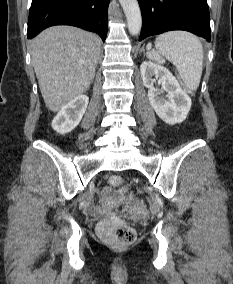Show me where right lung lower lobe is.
I'll use <instances>...</instances> for the list:
<instances>
[{
  "mask_svg": "<svg viewBox=\"0 0 233 284\" xmlns=\"http://www.w3.org/2000/svg\"><path fill=\"white\" fill-rule=\"evenodd\" d=\"M109 2L110 0H32L27 37L33 38L53 25H73L97 32L105 41Z\"/></svg>",
  "mask_w": 233,
  "mask_h": 284,
  "instance_id": "right-lung-lower-lobe-1",
  "label": "right lung lower lobe"
}]
</instances>
